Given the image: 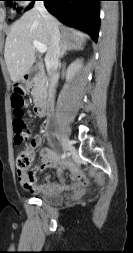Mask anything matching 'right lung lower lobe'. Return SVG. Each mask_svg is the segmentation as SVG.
Listing matches in <instances>:
<instances>
[{
    "label": "right lung lower lobe",
    "instance_id": "1",
    "mask_svg": "<svg viewBox=\"0 0 133 253\" xmlns=\"http://www.w3.org/2000/svg\"><path fill=\"white\" fill-rule=\"evenodd\" d=\"M35 1V0H32ZM46 9L62 23L87 32L97 42L99 30V1L101 0H43ZM33 3L27 7L30 9Z\"/></svg>",
    "mask_w": 133,
    "mask_h": 253
}]
</instances>
